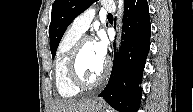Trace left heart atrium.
<instances>
[{
	"mask_svg": "<svg viewBox=\"0 0 193 112\" xmlns=\"http://www.w3.org/2000/svg\"><path fill=\"white\" fill-rule=\"evenodd\" d=\"M96 49L99 55L105 59L107 53V42L103 37L98 38L95 42Z\"/></svg>",
	"mask_w": 193,
	"mask_h": 112,
	"instance_id": "39dd6f15",
	"label": "left heart atrium"
}]
</instances>
